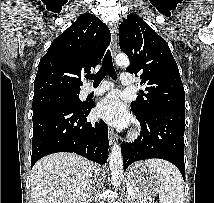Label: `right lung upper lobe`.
Masks as SVG:
<instances>
[{"label": "right lung upper lobe", "mask_w": 214, "mask_h": 203, "mask_svg": "<svg viewBox=\"0 0 214 203\" xmlns=\"http://www.w3.org/2000/svg\"><path fill=\"white\" fill-rule=\"evenodd\" d=\"M110 31L95 15H81L52 43L40 59L34 98L58 93H79L81 76L101 62L110 44Z\"/></svg>", "instance_id": "1"}]
</instances>
